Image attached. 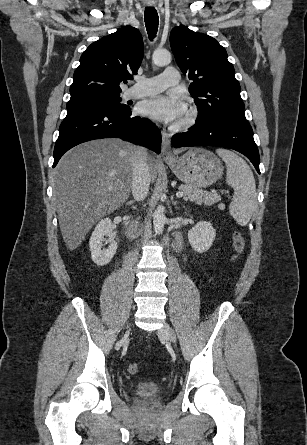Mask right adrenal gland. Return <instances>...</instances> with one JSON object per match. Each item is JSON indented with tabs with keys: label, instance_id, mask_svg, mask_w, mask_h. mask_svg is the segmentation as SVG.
I'll use <instances>...</instances> for the list:
<instances>
[{
	"label": "right adrenal gland",
	"instance_id": "obj_1",
	"mask_svg": "<svg viewBox=\"0 0 307 445\" xmlns=\"http://www.w3.org/2000/svg\"><path fill=\"white\" fill-rule=\"evenodd\" d=\"M132 202H135V200H128V202H126V204H132Z\"/></svg>",
	"mask_w": 307,
	"mask_h": 445
}]
</instances>
